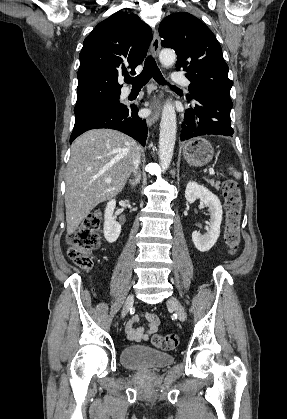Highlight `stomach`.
Listing matches in <instances>:
<instances>
[{"mask_svg": "<svg viewBox=\"0 0 287 419\" xmlns=\"http://www.w3.org/2000/svg\"><path fill=\"white\" fill-rule=\"evenodd\" d=\"M214 154L210 142L202 137H195L188 140L183 146V156L186 162L193 166H204L208 164Z\"/></svg>", "mask_w": 287, "mask_h": 419, "instance_id": "obj_1", "label": "stomach"}]
</instances>
